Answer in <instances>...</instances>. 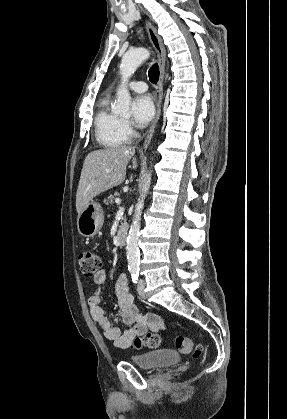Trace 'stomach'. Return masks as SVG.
Returning a JSON list of instances; mask_svg holds the SVG:
<instances>
[{
    "instance_id": "1",
    "label": "stomach",
    "mask_w": 287,
    "mask_h": 419,
    "mask_svg": "<svg viewBox=\"0 0 287 419\" xmlns=\"http://www.w3.org/2000/svg\"><path fill=\"white\" fill-rule=\"evenodd\" d=\"M103 220L104 215L101 205L92 200L78 215V231L84 237H93L100 231Z\"/></svg>"
}]
</instances>
